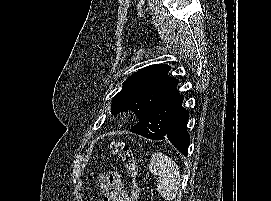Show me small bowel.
<instances>
[{
	"label": "small bowel",
	"mask_w": 271,
	"mask_h": 201,
	"mask_svg": "<svg viewBox=\"0 0 271 201\" xmlns=\"http://www.w3.org/2000/svg\"><path fill=\"white\" fill-rule=\"evenodd\" d=\"M99 187L103 201H131L120 176L115 171L102 174L99 177Z\"/></svg>",
	"instance_id": "obj_1"
}]
</instances>
